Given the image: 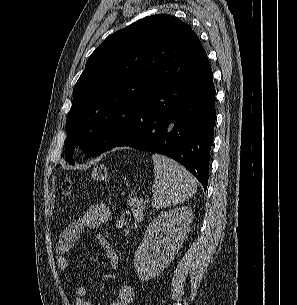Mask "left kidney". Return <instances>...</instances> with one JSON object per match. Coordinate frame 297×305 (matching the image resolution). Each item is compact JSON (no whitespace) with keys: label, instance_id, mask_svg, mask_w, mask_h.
<instances>
[{"label":"left kidney","instance_id":"1","mask_svg":"<svg viewBox=\"0 0 297 305\" xmlns=\"http://www.w3.org/2000/svg\"><path fill=\"white\" fill-rule=\"evenodd\" d=\"M192 218L191 207L182 206L162 213L149 224L134 256L140 280L158 276L170 264L187 237ZM159 232L166 236H159Z\"/></svg>","mask_w":297,"mask_h":305}]
</instances>
